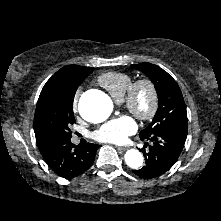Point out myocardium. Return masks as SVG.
Listing matches in <instances>:
<instances>
[{"label": "myocardium", "mask_w": 221, "mask_h": 221, "mask_svg": "<svg viewBox=\"0 0 221 221\" xmlns=\"http://www.w3.org/2000/svg\"><path fill=\"white\" fill-rule=\"evenodd\" d=\"M146 89L149 95V106L142 110L137 106V94L141 89ZM124 106L142 121L152 120L159 107V94L155 83L149 78H140L132 82L123 99Z\"/></svg>", "instance_id": "myocardium-1"}]
</instances>
